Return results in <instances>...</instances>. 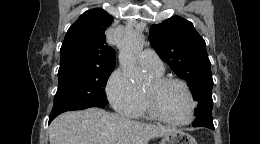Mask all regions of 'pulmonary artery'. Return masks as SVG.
Returning <instances> with one entry per match:
<instances>
[{"instance_id": "1", "label": "pulmonary artery", "mask_w": 260, "mask_h": 144, "mask_svg": "<svg viewBox=\"0 0 260 144\" xmlns=\"http://www.w3.org/2000/svg\"><path fill=\"white\" fill-rule=\"evenodd\" d=\"M140 63L151 72L162 73L164 71L163 63L154 50L145 49L140 55Z\"/></svg>"}]
</instances>
